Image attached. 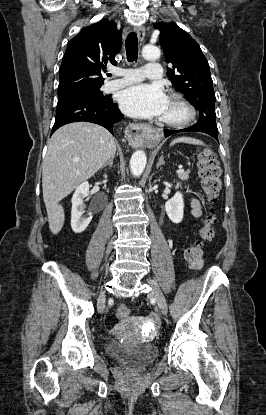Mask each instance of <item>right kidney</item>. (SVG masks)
Instances as JSON below:
<instances>
[{
	"instance_id": "1",
	"label": "right kidney",
	"mask_w": 266,
	"mask_h": 415,
	"mask_svg": "<svg viewBox=\"0 0 266 415\" xmlns=\"http://www.w3.org/2000/svg\"><path fill=\"white\" fill-rule=\"evenodd\" d=\"M89 194V183L87 181L80 184L72 197L71 227L75 233H82L92 220V215L83 216L85 204L83 199Z\"/></svg>"
}]
</instances>
